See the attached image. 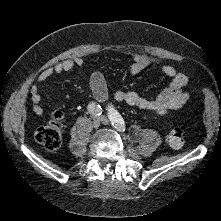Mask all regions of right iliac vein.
<instances>
[{"label":"right iliac vein","instance_id":"1","mask_svg":"<svg viewBox=\"0 0 221 221\" xmlns=\"http://www.w3.org/2000/svg\"><path fill=\"white\" fill-rule=\"evenodd\" d=\"M100 124H101V118L95 117V118L93 119V127H94V128H98V127L100 126Z\"/></svg>","mask_w":221,"mask_h":221}]
</instances>
